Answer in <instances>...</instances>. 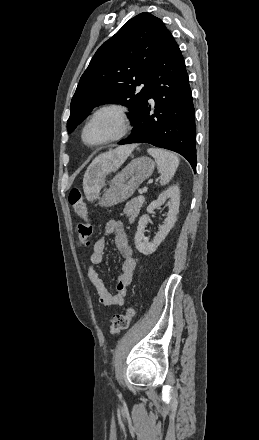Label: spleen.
Returning a JSON list of instances; mask_svg holds the SVG:
<instances>
[{"instance_id":"3e777b00","label":"spleen","mask_w":259,"mask_h":440,"mask_svg":"<svg viewBox=\"0 0 259 440\" xmlns=\"http://www.w3.org/2000/svg\"><path fill=\"white\" fill-rule=\"evenodd\" d=\"M147 152L157 163L158 171L161 174L160 184H168L178 168V157L169 151L159 148H149Z\"/></svg>"}]
</instances>
